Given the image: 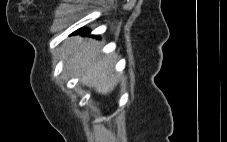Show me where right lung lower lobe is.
Here are the masks:
<instances>
[{
  "instance_id": "98d812e1",
  "label": "right lung lower lobe",
  "mask_w": 227,
  "mask_h": 142,
  "mask_svg": "<svg viewBox=\"0 0 227 142\" xmlns=\"http://www.w3.org/2000/svg\"><path fill=\"white\" fill-rule=\"evenodd\" d=\"M75 33H83L85 35L89 34V31L83 32V30L79 29L78 31H76Z\"/></svg>"
}]
</instances>
